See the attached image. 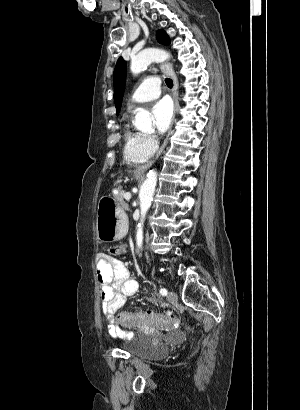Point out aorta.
<instances>
[{
	"label": "aorta",
	"instance_id": "aorta-1",
	"mask_svg": "<svg viewBox=\"0 0 300 410\" xmlns=\"http://www.w3.org/2000/svg\"><path fill=\"white\" fill-rule=\"evenodd\" d=\"M169 57L170 55L164 50L155 49V48L145 49L139 52L136 56L132 58L131 65H130L131 72L137 75L141 73L142 71H144L147 68V66L150 65L152 62H161V61L168 59ZM133 124L137 130H140V131L150 130L152 127V122H151L149 112L142 108H137ZM156 185H157V172L155 170H151L148 173L139 191L141 218L137 225V233H136V243H137L138 248L142 247L143 223H144L147 211L149 210L151 206Z\"/></svg>",
	"mask_w": 300,
	"mask_h": 410
}]
</instances>
